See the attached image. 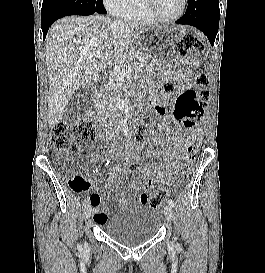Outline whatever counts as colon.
<instances>
[{
    "label": "colon",
    "mask_w": 265,
    "mask_h": 273,
    "mask_svg": "<svg viewBox=\"0 0 265 273\" xmlns=\"http://www.w3.org/2000/svg\"><path fill=\"white\" fill-rule=\"evenodd\" d=\"M203 51V45L196 35L188 33L184 35L176 45V52L180 55L193 54L197 55ZM195 84L198 86L197 90H188L182 93L174 108V116L176 120L186 127L185 131V152L188 155L181 164L180 170L184 177H187L192 169V161L194 153L198 152L201 147V137L198 136L197 128H192L195 121L203 117L208 107L209 91L207 89L208 77L203 72H196L194 74ZM165 91L172 93L175 86L172 82L165 84ZM160 111L155 109L144 115L138 124L136 130V141L141 144L144 141V136L147 131L156 125ZM97 136L96 124L85 119L78 123L60 122L56 124L50 135V141L60 156H66L74 147L75 140L79 142H86L95 139ZM131 172L140 170V165L137 162L129 166ZM68 185L74 192L81 191L84 188V181L80 176H74L69 179ZM145 190H155L156 196L151 201L153 205H158L167 195V191L163 187H159L156 180L152 177L144 179Z\"/></svg>",
    "instance_id": "obj_1"
}]
</instances>
